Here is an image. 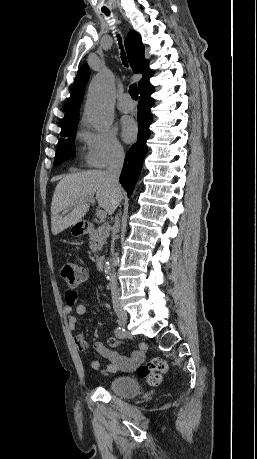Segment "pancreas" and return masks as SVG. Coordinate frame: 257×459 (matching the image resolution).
I'll use <instances>...</instances> for the list:
<instances>
[{
	"label": "pancreas",
	"mask_w": 257,
	"mask_h": 459,
	"mask_svg": "<svg viewBox=\"0 0 257 459\" xmlns=\"http://www.w3.org/2000/svg\"><path fill=\"white\" fill-rule=\"evenodd\" d=\"M109 232L110 226L102 225L90 234L89 248L95 255H97L98 252L102 249L107 237L109 236Z\"/></svg>",
	"instance_id": "pancreas-1"
}]
</instances>
